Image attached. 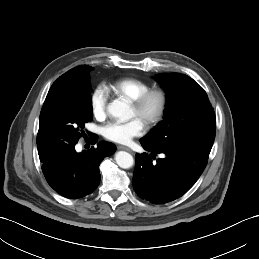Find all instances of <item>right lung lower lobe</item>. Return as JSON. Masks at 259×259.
<instances>
[{
    "label": "right lung lower lobe",
    "mask_w": 259,
    "mask_h": 259,
    "mask_svg": "<svg viewBox=\"0 0 259 259\" xmlns=\"http://www.w3.org/2000/svg\"><path fill=\"white\" fill-rule=\"evenodd\" d=\"M92 139H97L92 134ZM116 146L99 142L98 147L77 153L75 147L65 155L44 159L42 171L48 184L60 195L78 199L91 194L99 185V165L106 156L113 154ZM42 158L40 157V160Z\"/></svg>",
    "instance_id": "98d812e1"
}]
</instances>
